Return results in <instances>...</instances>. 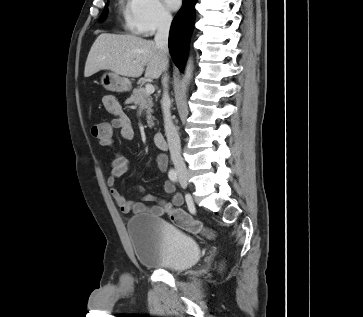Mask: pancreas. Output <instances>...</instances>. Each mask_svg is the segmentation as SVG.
<instances>
[{
    "label": "pancreas",
    "instance_id": "obj_1",
    "mask_svg": "<svg viewBox=\"0 0 363 317\" xmlns=\"http://www.w3.org/2000/svg\"><path fill=\"white\" fill-rule=\"evenodd\" d=\"M128 102L134 103L135 105H141L144 109H146V117L147 123L150 128L154 126V117L153 113V101L150 94L145 92V89L142 87H137L133 90L132 95L128 98Z\"/></svg>",
    "mask_w": 363,
    "mask_h": 317
}]
</instances>
